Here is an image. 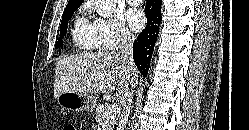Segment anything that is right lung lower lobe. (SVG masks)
I'll return each mask as SVG.
<instances>
[{
	"instance_id": "1",
	"label": "right lung lower lobe",
	"mask_w": 249,
	"mask_h": 130,
	"mask_svg": "<svg viewBox=\"0 0 249 130\" xmlns=\"http://www.w3.org/2000/svg\"><path fill=\"white\" fill-rule=\"evenodd\" d=\"M147 25L133 44V58L140 73L146 77L150 59L153 54L156 38L161 22V1L147 0L145 6Z\"/></svg>"
}]
</instances>
